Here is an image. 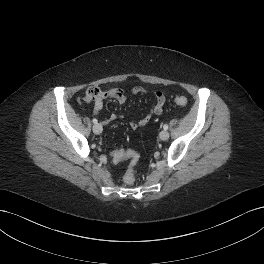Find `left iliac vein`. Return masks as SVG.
<instances>
[{"label":"left iliac vein","instance_id":"4c4485c4","mask_svg":"<svg viewBox=\"0 0 264 264\" xmlns=\"http://www.w3.org/2000/svg\"><path fill=\"white\" fill-rule=\"evenodd\" d=\"M159 137L161 140H167L169 138V132L166 130H163L160 132Z\"/></svg>","mask_w":264,"mask_h":264}]
</instances>
